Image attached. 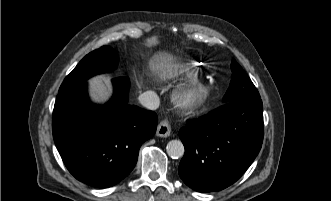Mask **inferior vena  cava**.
<instances>
[{"instance_id": "602c4592", "label": "inferior vena cava", "mask_w": 331, "mask_h": 201, "mask_svg": "<svg viewBox=\"0 0 331 201\" xmlns=\"http://www.w3.org/2000/svg\"><path fill=\"white\" fill-rule=\"evenodd\" d=\"M140 103L150 109L156 110L159 107L160 100L158 95L153 91H146L139 96Z\"/></svg>"}]
</instances>
